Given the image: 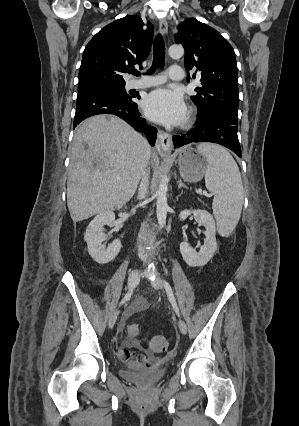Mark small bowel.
Here are the masks:
<instances>
[{"instance_id":"small-bowel-1","label":"small bowel","mask_w":299,"mask_h":426,"mask_svg":"<svg viewBox=\"0 0 299 426\" xmlns=\"http://www.w3.org/2000/svg\"><path fill=\"white\" fill-rule=\"evenodd\" d=\"M147 308L144 300L138 299L132 306V311H143ZM131 348H137L142 353H135L131 351ZM118 357L123 361L129 368L136 369L140 367L152 368L160 365L165 357L155 356L153 351L139 343L136 340H126L122 347L118 350Z\"/></svg>"}]
</instances>
